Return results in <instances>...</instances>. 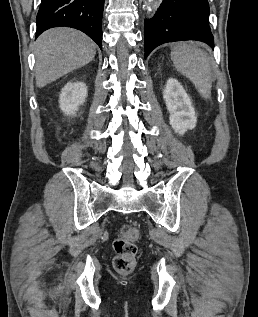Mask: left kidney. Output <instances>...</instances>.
Returning <instances> with one entry per match:
<instances>
[{"instance_id": "1", "label": "left kidney", "mask_w": 258, "mask_h": 317, "mask_svg": "<svg viewBox=\"0 0 258 317\" xmlns=\"http://www.w3.org/2000/svg\"><path fill=\"white\" fill-rule=\"evenodd\" d=\"M163 98L170 112V124L175 132L185 134L188 128L196 126L197 116L190 96L176 78H168Z\"/></svg>"}]
</instances>
